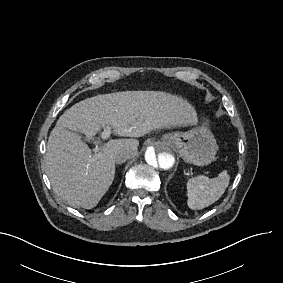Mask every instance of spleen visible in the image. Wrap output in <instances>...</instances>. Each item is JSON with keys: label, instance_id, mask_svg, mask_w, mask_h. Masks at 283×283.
<instances>
[{"label": "spleen", "instance_id": "1", "mask_svg": "<svg viewBox=\"0 0 283 283\" xmlns=\"http://www.w3.org/2000/svg\"><path fill=\"white\" fill-rule=\"evenodd\" d=\"M230 176L226 170L218 177L199 175L187 182V205L192 210H201L216 202L229 185Z\"/></svg>", "mask_w": 283, "mask_h": 283}]
</instances>
